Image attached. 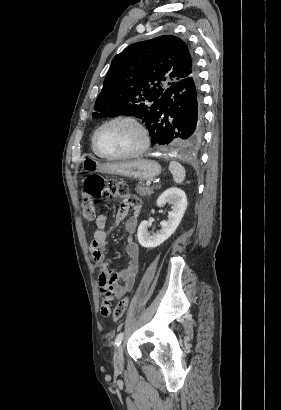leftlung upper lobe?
Returning a JSON list of instances; mask_svg holds the SVG:
<instances>
[{"label":"left lung upper lobe","instance_id":"obj_1","mask_svg":"<svg viewBox=\"0 0 281 410\" xmlns=\"http://www.w3.org/2000/svg\"><path fill=\"white\" fill-rule=\"evenodd\" d=\"M194 73L192 54L175 36L132 44L112 60L92 117L128 114L143 121L169 86Z\"/></svg>","mask_w":281,"mask_h":410}]
</instances>
